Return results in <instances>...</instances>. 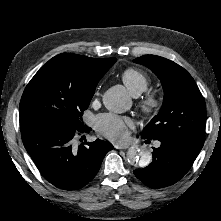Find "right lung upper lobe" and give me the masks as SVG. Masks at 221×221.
<instances>
[{"label":"right lung upper lobe","instance_id":"1","mask_svg":"<svg viewBox=\"0 0 221 221\" xmlns=\"http://www.w3.org/2000/svg\"><path fill=\"white\" fill-rule=\"evenodd\" d=\"M114 58L94 59L71 53H62L50 59L38 73H47L59 82L84 88H96L101 77L109 70L108 63ZM34 123H21V132Z\"/></svg>","mask_w":221,"mask_h":221}]
</instances>
